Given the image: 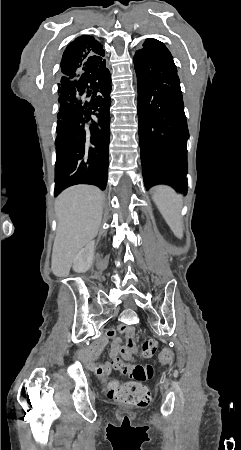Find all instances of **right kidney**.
Masks as SVG:
<instances>
[{"instance_id":"1","label":"right kidney","mask_w":241,"mask_h":450,"mask_svg":"<svg viewBox=\"0 0 241 450\" xmlns=\"http://www.w3.org/2000/svg\"><path fill=\"white\" fill-rule=\"evenodd\" d=\"M94 250H95V242H89L85 248H82L80 252H78L76 258L73 260V270L74 272H78V274H82V272H87L89 268L92 266L93 258H94Z\"/></svg>"}]
</instances>
